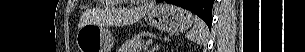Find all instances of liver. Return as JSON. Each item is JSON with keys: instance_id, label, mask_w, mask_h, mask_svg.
Masks as SVG:
<instances>
[{"instance_id": "obj_1", "label": "liver", "mask_w": 305, "mask_h": 52, "mask_svg": "<svg viewBox=\"0 0 305 52\" xmlns=\"http://www.w3.org/2000/svg\"><path fill=\"white\" fill-rule=\"evenodd\" d=\"M153 9V5H142L135 8H113L108 11V20L109 24L115 25V26H125L130 25L138 20H140L142 17H144L146 14H148ZM94 18L90 11H86L82 14L80 23L78 25V28L80 29L86 24L93 23Z\"/></svg>"}]
</instances>
